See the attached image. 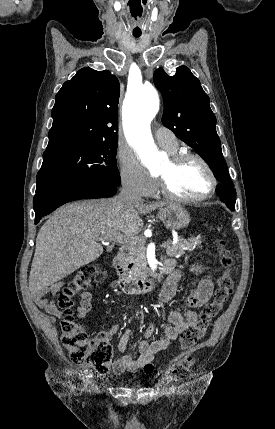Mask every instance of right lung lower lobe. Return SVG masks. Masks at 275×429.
Returning <instances> with one entry per match:
<instances>
[{"label": "right lung lower lobe", "instance_id": "1", "mask_svg": "<svg viewBox=\"0 0 275 429\" xmlns=\"http://www.w3.org/2000/svg\"><path fill=\"white\" fill-rule=\"evenodd\" d=\"M117 187L101 181L84 179L64 182L38 192L33 201L35 223L67 202L111 197L117 192Z\"/></svg>", "mask_w": 275, "mask_h": 429}]
</instances>
